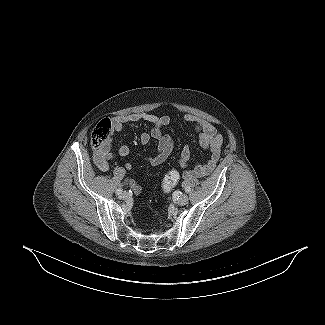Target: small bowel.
Returning a JSON list of instances; mask_svg holds the SVG:
<instances>
[{
	"instance_id": "1",
	"label": "small bowel",
	"mask_w": 325,
	"mask_h": 325,
	"mask_svg": "<svg viewBox=\"0 0 325 325\" xmlns=\"http://www.w3.org/2000/svg\"><path fill=\"white\" fill-rule=\"evenodd\" d=\"M137 121H145L152 124L150 132H144L140 135V142L147 144L151 139L157 141L156 154L146 158V161L151 165H159L169 158L173 151V140L170 135L163 133V128L169 125L170 118L168 116H157L147 112H135L116 116L112 119L110 137L101 148L94 152V161L100 170L107 171L109 169V161L114 158V154L111 151L114 133L122 131L125 124ZM185 121L194 126V129L198 132L200 146L210 152V157L206 162H197L191 165L189 162L191 148L185 146L179 156V163L184 169V178L209 176L220 159L223 137L215 131L212 125L198 120L193 115H186ZM129 152L130 149L127 145H122L118 149V155L123 157L127 156ZM124 167L130 169L131 165L127 163ZM128 184L134 193L138 194L141 191V187L136 181L130 179Z\"/></svg>"
}]
</instances>
